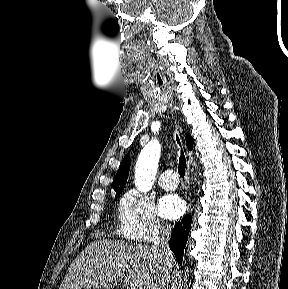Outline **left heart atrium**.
Returning <instances> with one entry per match:
<instances>
[{"mask_svg": "<svg viewBox=\"0 0 288 289\" xmlns=\"http://www.w3.org/2000/svg\"><path fill=\"white\" fill-rule=\"evenodd\" d=\"M184 211L185 204L177 195L167 194L159 202V212L167 219L178 218Z\"/></svg>", "mask_w": 288, "mask_h": 289, "instance_id": "1", "label": "left heart atrium"}]
</instances>
